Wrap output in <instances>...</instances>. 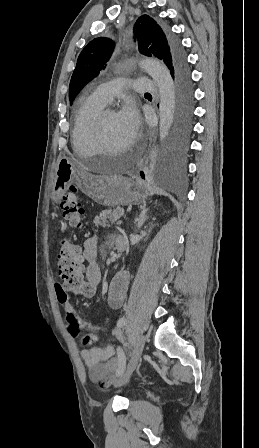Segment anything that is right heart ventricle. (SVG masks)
Returning a JSON list of instances; mask_svg holds the SVG:
<instances>
[{"label":"right heart ventricle","instance_id":"e07e8e85","mask_svg":"<svg viewBox=\"0 0 259 448\" xmlns=\"http://www.w3.org/2000/svg\"><path fill=\"white\" fill-rule=\"evenodd\" d=\"M106 105L96 96L94 89L84 94L81 99V107L74 117L73 148H79V150H95L97 148L94 141L95 119Z\"/></svg>","mask_w":259,"mask_h":448}]
</instances>
